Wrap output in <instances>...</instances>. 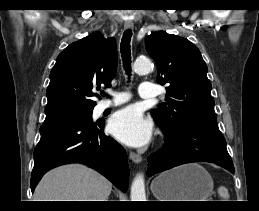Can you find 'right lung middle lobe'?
Masks as SVG:
<instances>
[{
	"mask_svg": "<svg viewBox=\"0 0 259 211\" xmlns=\"http://www.w3.org/2000/svg\"><path fill=\"white\" fill-rule=\"evenodd\" d=\"M71 119H76L80 121H92V111L87 113L78 114L75 116L70 117Z\"/></svg>",
	"mask_w": 259,
	"mask_h": 211,
	"instance_id": "obj_1",
	"label": "right lung middle lobe"
}]
</instances>
